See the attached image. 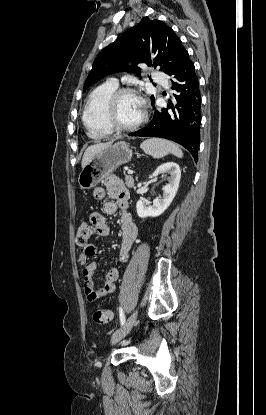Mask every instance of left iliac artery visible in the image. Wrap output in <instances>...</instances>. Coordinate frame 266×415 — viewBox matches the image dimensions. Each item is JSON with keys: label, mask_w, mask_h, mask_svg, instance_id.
<instances>
[{"label": "left iliac artery", "mask_w": 266, "mask_h": 415, "mask_svg": "<svg viewBox=\"0 0 266 415\" xmlns=\"http://www.w3.org/2000/svg\"><path fill=\"white\" fill-rule=\"evenodd\" d=\"M119 315H120V324L123 325L125 323V315H124L122 308H120L119 310Z\"/></svg>", "instance_id": "44dca946"}]
</instances>
